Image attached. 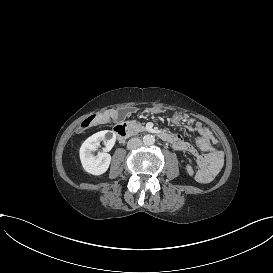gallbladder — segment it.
Listing matches in <instances>:
<instances>
[{
	"label": "gallbladder",
	"instance_id": "bac80fb5",
	"mask_svg": "<svg viewBox=\"0 0 273 273\" xmlns=\"http://www.w3.org/2000/svg\"><path fill=\"white\" fill-rule=\"evenodd\" d=\"M136 112V109L134 107H128L125 109H119L118 110V116L117 121H123L126 118V115L128 114H134Z\"/></svg>",
	"mask_w": 273,
	"mask_h": 273
}]
</instances>
